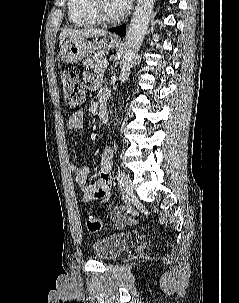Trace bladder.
I'll return each instance as SVG.
<instances>
[{
	"label": "bladder",
	"mask_w": 239,
	"mask_h": 303,
	"mask_svg": "<svg viewBox=\"0 0 239 303\" xmlns=\"http://www.w3.org/2000/svg\"><path fill=\"white\" fill-rule=\"evenodd\" d=\"M130 236L127 234H111L98 238L92 243V253L100 261H112L127 248Z\"/></svg>",
	"instance_id": "1"
}]
</instances>
